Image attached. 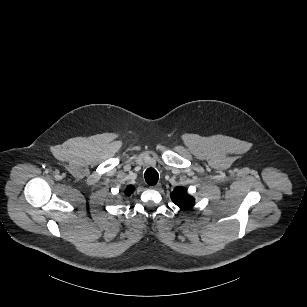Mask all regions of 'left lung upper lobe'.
<instances>
[{
    "instance_id": "left-lung-upper-lobe-1",
    "label": "left lung upper lobe",
    "mask_w": 307,
    "mask_h": 307,
    "mask_svg": "<svg viewBox=\"0 0 307 307\" xmlns=\"http://www.w3.org/2000/svg\"><path fill=\"white\" fill-rule=\"evenodd\" d=\"M171 199L182 210L190 209L195 202L184 187H176L171 193Z\"/></svg>"
}]
</instances>
